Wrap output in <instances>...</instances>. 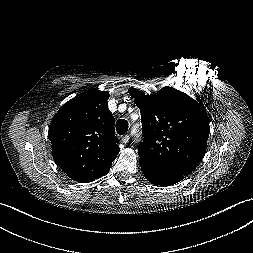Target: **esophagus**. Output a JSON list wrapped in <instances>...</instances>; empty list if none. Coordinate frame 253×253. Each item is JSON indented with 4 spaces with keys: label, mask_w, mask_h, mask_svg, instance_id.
Masks as SVG:
<instances>
[{
    "label": "esophagus",
    "mask_w": 253,
    "mask_h": 253,
    "mask_svg": "<svg viewBox=\"0 0 253 253\" xmlns=\"http://www.w3.org/2000/svg\"><path fill=\"white\" fill-rule=\"evenodd\" d=\"M130 136L129 135H124L122 137V143L126 144L129 142Z\"/></svg>",
    "instance_id": "obj_1"
}]
</instances>
